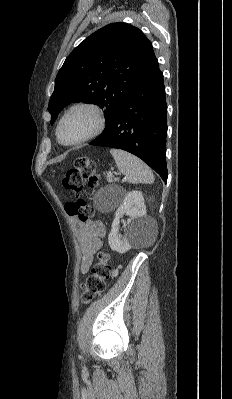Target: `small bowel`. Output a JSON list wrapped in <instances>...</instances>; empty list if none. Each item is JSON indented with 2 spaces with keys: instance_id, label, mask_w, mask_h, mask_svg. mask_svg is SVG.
<instances>
[{
  "instance_id": "c3829d8e",
  "label": "small bowel",
  "mask_w": 232,
  "mask_h": 399,
  "mask_svg": "<svg viewBox=\"0 0 232 399\" xmlns=\"http://www.w3.org/2000/svg\"><path fill=\"white\" fill-rule=\"evenodd\" d=\"M76 236L81 245L80 268L84 274L94 262L97 249L101 246L103 227L100 222H89L76 229Z\"/></svg>"
}]
</instances>
